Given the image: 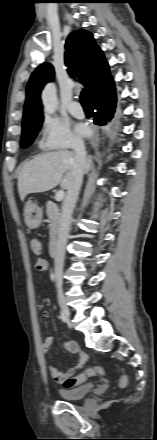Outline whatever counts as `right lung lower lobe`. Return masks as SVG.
Here are the masks:
<instances>
[{"mask_svg":"<svg viewBox=\"0 0 157 440\" xmlns=\"http://www.w3.org/2000/svg\"><path fill=\"white\" fill-rule=\"evenodd\" d=\"M96 109L94 123L98 125H105L111 121L115 113L116 107V93H112L101 101L94 103Z\"/></svg>","mask_w":157,"mask_h":440,"instance_id":"1","label":"right lung lower lobe"}]
</instances>
